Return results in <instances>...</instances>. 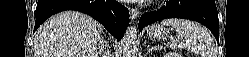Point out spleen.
Returning a JSON list of instances; mask_svg holds the SVG:
<instances>
[{"label":"spleen","instance_id":"1","mask_svg":"<svg viewBox=\"0 0 249 57\" xmlns=\"http://www.w3.org/2000/svg\"><path fill=\"white\" fill-rule=\"evenodd\" d=\"M162 26H172L184 38V43H177L176 40L170 43L172 48H187L190 51L199 53L201 57H213L215 45L207 30L197 22L170 18L161 22Z\"/></svg>","mask_w":249,"mask_h":57}]
</instances>
